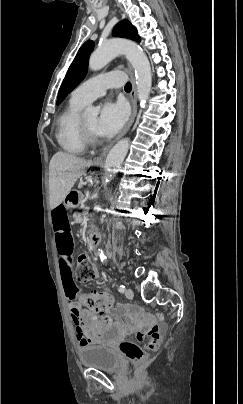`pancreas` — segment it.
I'll return each mask as SVG.
<instances>
[{
	"label": "pancreas",
	"instance_id": "obj_1",
	"mask_svg": "<svg viewBox=\"0 0 243 404\" xmlns=\"http://www.w3.org/2000/svg\"><path fill=\"white\" fill-rule=\"evenodd\" d=\"M74 221L76 222V223H79V224H82L83 223V220L81 219V216L78 214V213H75L74 214Z\"/></svg>",
	"mask_w": 243,
	"mask_h": 404
}]
</instances>
